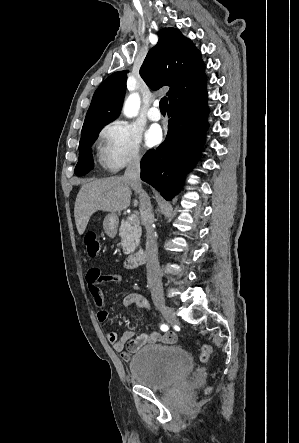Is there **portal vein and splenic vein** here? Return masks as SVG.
Here are the masks:
<instances>
[{"instance_id":"18ae733b","label":"portal vein and splenic vein","mask_w":299,"mask_h":443,"mask_svg":"<svg viewBox=\"0 0 299 443\" xmlns=\"http://www.w3.org/2000/svg\"><path fill=\"white\" fill-rule=\"evenodd\" d=\"M136 215H134V214H132L128 219L130 220V221H134V220H136Z\"/></svg>"}]
</instances>
